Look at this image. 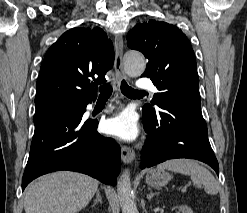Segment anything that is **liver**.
<instances>
[{
    "instance_id": "1",
    "label": "liver",
    "mask_w": 247,
    "mask_h": 213,
    "mask_svg": "<svg viewBox=\"0 0 247 213\" xmlns=\"http://www.w3.org/2000/svg\"><path fill=\"white\" fill-rule=\"evenodd\" d=\"M98 185L96 179L76 172L47 174L26 188L25 213H76L93 198Z\"/></svg>"
}]
</instances>
